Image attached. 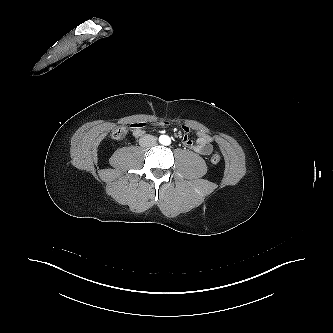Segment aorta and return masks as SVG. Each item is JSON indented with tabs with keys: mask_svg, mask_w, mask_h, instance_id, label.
<instances>
[{
	"mask_svg": "<svg viewBox=\"0 0 333 333\" xmlns=\"http://www.w3.org/2000/svg\"><path fill=\"white\" fill-rule=\"evenodd\" d=\"M169 141H170V139L168 137H166L165 143H168Z\"/></svg>",
	"mask_w": 333,
	"mask_h": 333,
	"instance_id": "762f6f07",
	"label": "aorta"
}]
</instances>
